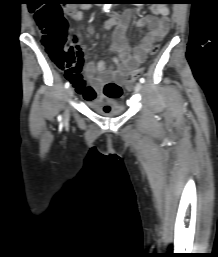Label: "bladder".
Segmentation results:
<instances>
[{
    "mask_svg": "<svg viewBox=\"0 0 218 257\" xmlns=\"http://www.w3.org/2000/svg\"><path fill=\"white\" fill-rule=\"evenodd\" d=\"M86 104L89 108L104 116L120 115L125 111V106L110 96H100L94 100H86Z\"/></svg>",
    "mask_w": 218,
    "mask_h": 257,
    "instance_id": "1",
    "label": "bladder"
}]
</instances>
